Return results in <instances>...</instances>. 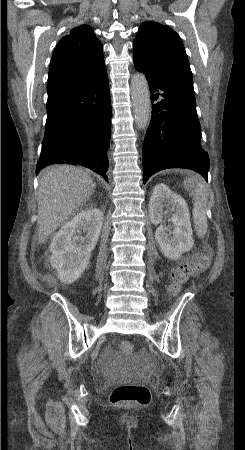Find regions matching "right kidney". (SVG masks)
<instances>
[{
	"mask_svg": "<svg viewBox=\"0 0 245 450\" xmlns=\"http://www.w3.org/2000/svg\"><path fill=\"white\" fill-rule=\"evenodd\" d=\"M103 219L101 210L87 209L66 222L55 234L50 245V263L61 282L71 284L82 275L99 239ZM81 231L86 232L85 237L80 236ZM76 241L80 243L76 244Z\"/></svg>",
	"mask_w": 245,
	"mask_h": 450,
	"instance_id": "obj_1",
	"label": "right kidney"
}]
</instances>
